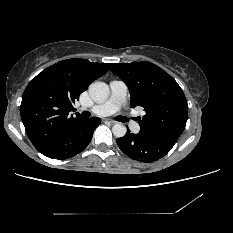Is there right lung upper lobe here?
Segmentation results:
<instances>
[{
  "instance_id": "right-lung-upper-lobe-1",
  "label": "right lung upper lobe",
  "mask_w": 233,
  "mask_h": 233,
  "mask_svg": "<svg viewBox=\"0 0 233 233\" xmlns=\"http://www.w3.org/2000/svg\"><path fill=\"white\" fill-rule=\"evenodd\" d=\"M109 63L73 58L60 61L39 73L26 87L20 106L27 136L36 147L44 145L82 119L71 112L89 84L104 75Z\"/></svg>"
}]
</instances>
